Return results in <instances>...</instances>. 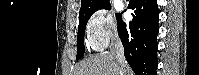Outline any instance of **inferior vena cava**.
<instances>
[{
  "mask_svg": "<svg viewBox=\"0 0 199 75\" xmlns=\"http://www.w3.org/2000/svg\"><path fill=\"white\" fill-rule=\"evenodd\" d=\"M111 51L115 54L117 61L123 66L126 64L125 56H124V47L122 45L119 37H115L111 46ZM120 75H123V71L120 70Z\"/></svg>",
  "mask_w": 199,
  "mask_h": 75,
  "instance_id": "inferior-vena-cava-1",
  "label": "inferior vena cava"
}]
</instances>
